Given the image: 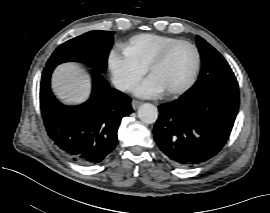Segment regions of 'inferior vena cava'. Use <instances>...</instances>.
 I'll return each instance as SVG.
<instances>
[{"label":"inferior vena cava","mask_w":270,"mask_h":213,"mask_svg":"<svg viewBox=\"0 0 270 213\" xmlns=\"http://www.w3.org/2000/svg\"><path fill=\"white\" fill-rule=\"evenodd\" d=\"M114 86L116 89L124 92L127 90H131L134 87V84L125 80H115Z\"/></svg>","instance_id":"inferior-vena-cava-1"}]
</instances>
